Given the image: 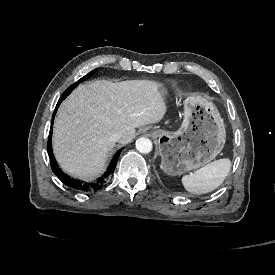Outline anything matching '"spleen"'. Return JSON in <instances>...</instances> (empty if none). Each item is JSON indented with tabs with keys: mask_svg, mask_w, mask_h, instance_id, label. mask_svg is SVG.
<instances>
[{
	"mask_svg": "<svg viewBox=\"0 0 275 275\" xmlns=\"http://www.w3.org/2000/svg\"><path fill=\"white\" fill-rule=\"evenodd\" d=\"M231 170L228 158L206 164L192 174L182 177L184 188L194 194H206L218 188Z\"/></svg>",
	"mask_w": 275,
	"mask_h": 275,
	"instance_id": "spleen-1",
	"label": "spleen"
}]
</instances>
